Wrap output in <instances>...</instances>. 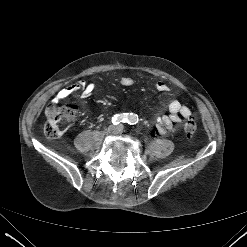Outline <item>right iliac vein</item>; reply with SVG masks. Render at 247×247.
Instances as JSON below:
<instances>
[{"label":"right iliac vein","instance_id":"obj_1","mask_svg":"<svg viewBox=\"0 0 247 247\" xmlns=\"http://www.w3.org/2000/svg\"><path fill=\"white\" fill-rule=\"evenodd\" d=\"M108 131H109L110 133H115V132L117 131V127H115V126H110V127L108 128Z\"/></svg>","mask_w":247,"mask_h":247}]
</instances>
